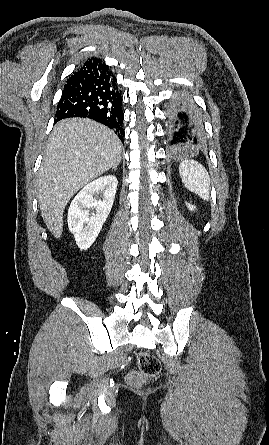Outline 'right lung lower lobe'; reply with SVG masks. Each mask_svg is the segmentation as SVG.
Returning <instances> with one entry per match:
<instances>
[{
  "label": "right lung lower lobe",
  "instance_id": "right-lung-lower-lobe-1",
  "mask_svg": "<svg viewBox=\"0 0 269 445\" xmlns=\"http://www.w3.org/2000/svg\"><path fill=\"white\" fill-rule=\"evenodd\" d=\"M115 76L98 58H89L68 78L57 106L56 120L85 117L100 122L122 140L124 114Z\"/></svg>",
  "mask_w": 269,
  "mask_h": 445
}]
</instances>
